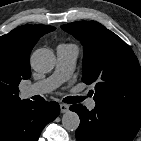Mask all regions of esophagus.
I'll return each instance as SVG.
<instances>
[{
	"label": "esophagus",
	"mask_w": 141,
	"mask_h": 141,
	"mask_svg": "<svg viewBox=\"0 0 141 141\" xmlns=\"http://www.w3.org/2000/svg\"><path fill=\"white\" fill-rule=\"evenodd\" d=\"M61 113H65L69 110V105L67 104H60Z\"/></svg>",
	"instance_id": "obj_1"
}]
</instances>
